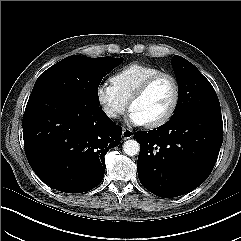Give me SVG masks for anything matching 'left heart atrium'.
Wrapping results in <instances>:
<instances>
[{"label":"left heart atrium","mask_w":241,"mask_h":241,"mask_svg":"<svg viewBox=\"0 0 241 241\" xmlns=\"http://www.w3.org/2000/svg\"><path fill=\"white\" fill-rule=\"evenodd\" d=\"M129 121L134 125H144L145 122L133 111L130 112Z\"/></svg>","instance_id":"1"}]
</instances>
